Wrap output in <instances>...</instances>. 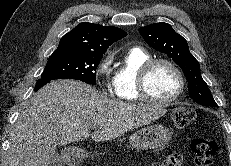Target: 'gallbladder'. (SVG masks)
<instances>
[{"instance_id":"bac80fb5","label":"gallbladder","mask_w":231,"mask_h":166,"mask_svg":"<svg viewBox=\"0 0 231 166\" xmlns=\"http://www.w3.org/2000/svg\"><path fill=\"white\" fill-rule=\"evenodd\" d=\"M48 166H62V160L59 155L54 156Z\"/></svg>"}]
</instances>
